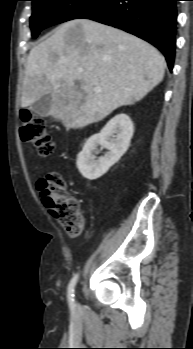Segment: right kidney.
<instances>
[{"label": "right kidney", "mask_w": 193, "mask_h": 349, "mask_svg": "<svg viewBox=\"0 0 193 349\" xmlns=\"http://www.w3.org/2000/svg\"><path fill=\"white\" fill-rule=\"evenodd\" d=\"M133 132L130 117L121 113L112 118L99 134L91 136L77 156L76 164L82 176L88 180L103 176L127 151ZM98 145L108 152L96 160L93 153H97Z\"/></svg>", "instance_id": "right-kidney-1"}]
</instances>
